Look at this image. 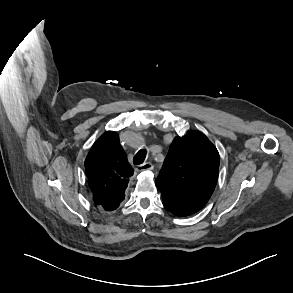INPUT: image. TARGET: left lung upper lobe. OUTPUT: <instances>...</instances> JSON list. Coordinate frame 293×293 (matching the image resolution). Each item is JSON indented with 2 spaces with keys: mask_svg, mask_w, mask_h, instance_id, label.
Masks as SVG:
<instances>
[{
  "mask_svg": "<svg viewBox=\"0 0 293 293\" xmlns=\"http://www.w3.org/2000/svg\"><path fill=\"white\" fill-rule=\"evenodd\" d=\"M219 153L201 132L176 137L156 180L162 199L196 213L211 197L218 179Z\"/></svg>",
  "mask_w": 293,
  "mask_h": 293,
  "instance_id": "obj_1",
  "label": "left lung upper lobe"
}]
</instances>
